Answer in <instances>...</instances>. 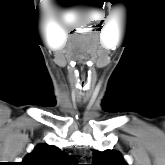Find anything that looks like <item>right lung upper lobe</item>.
<instances>
[{
  "mask_svg": "<svg viewBox=\"0 0 165 165\" xmlns=\"http://www.w3.org/2000/svg\"><path fill=\"white\" fill-rule=\"evenodd\" d=\"M21 165H78L74 156H69L59 148L39 144L28 154Z\"/></svg>",
  "mask_w": 165,
  "mask_h": 165,
  "instance_id": "right-lung-upper-lobe-1",
  "label": "right lung upper lobe"
}]
</instances>
